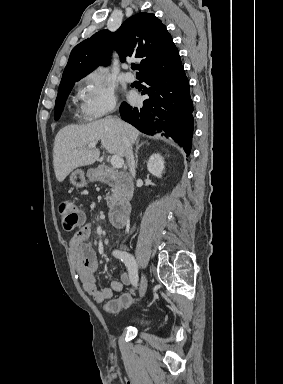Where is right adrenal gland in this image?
<instances>
[{"label": "right adrenal gland", "instance_id": "2a0ac1e0", "mask_svg": "<svg viewBox=\"0 0 283 384\" xmlns=\"http://www.w3.org/2000/svg\"><path fill=\"white\" fill-rule=\"evenodd\" d=\"M136 144V150H135V166L136 168H138V150L139 148H141V146H143V144H146V142H141V144H139V140H137V142H135Z\"/></svg>", "mask_w": 283, "mask_h": 384}]
</instances>
